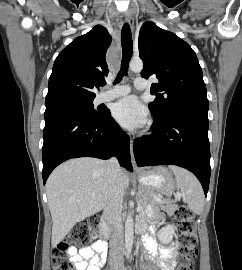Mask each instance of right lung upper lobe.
<instances>
[{"mask_svg": "<svg viewBox=\"0 0 242 270\" xmlns=\"http://www.w3.org/2000/svg\"><path fill=\"white\" fill-rule=\"evenodd\" d=\"M110 43L107 29L97 25L65 47L54 62L45 105L94 99L96 89L106 85Z\"/></svg>", "mask_w": 242, "mask_h": 270, "instance_id": "obj_1", "label": "right lung upper lobe"}]
</instances>
